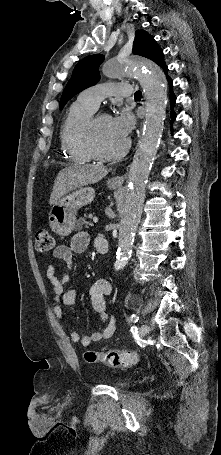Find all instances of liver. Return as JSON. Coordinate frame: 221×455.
Instances as JSON below:
<instances>
[{
  "mask_svg": "<svg viewBox=\"0 0 221 455\" xmlns=\"http://www.w3.org/2000/svg\"><path fill=\"white\" fill-rule=\"evenodd\" d=\"M107 173L102 164L72 165L62 169L55 179L49 204L53 205L76 188L99 182Z\"/></svg>",
  "mask_w": 221,
  "mask_h": 455,
  "instance_id": "6515ba94",
  "label": "liver"
}]
</instances>
